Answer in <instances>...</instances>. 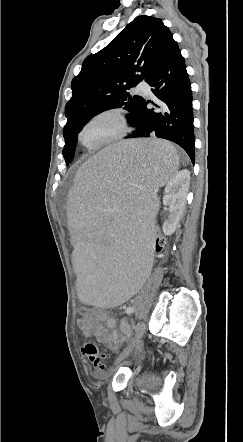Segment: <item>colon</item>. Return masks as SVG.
<instances>
[{
  "label": "colon",
  "mask_w": 243,
  "mask_h": 442,
  "mask_svg": "<svg viewBox=\"0 0 243 442\" xmlns=\"http://www.w3.org/2000/svg\"><path fill=\"white\" fill-rule=\"evenodd\" d=\"M151 224L156 225L159 222L158 217L153 216L150 219ZM165 228L162 225L157 226L153 229L152 234L155 236V242L153 246L155 247V252L162 254L165 252L166 238L164 235ZM82 353L89 359L91 364L98 369H105V353L101 351L97 343L93 340H87L82 343L81 346Z\"/></svg>",
  "instance_id": "colon-1"
}]
</instances>
